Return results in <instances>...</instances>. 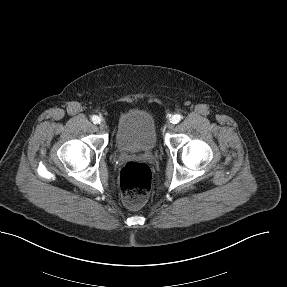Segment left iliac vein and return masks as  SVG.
Masks as SVG:
<instances>
[{"instance_id":"obj_1","label":"left iliac vein","mask_w":287,"mask_h":287,"mask_svg":"<svg viewBox=\"0 0 287 287\" xmlns=\"http://www.w3.org/2000/svg\"><path fill=\"white\" fill-rule=\"evenodd\" d=\"M166 127L167 129L172 130L174 128V124L169 122Z\"/></svg>"}]
</instances>
